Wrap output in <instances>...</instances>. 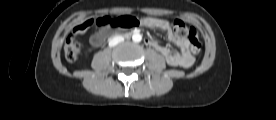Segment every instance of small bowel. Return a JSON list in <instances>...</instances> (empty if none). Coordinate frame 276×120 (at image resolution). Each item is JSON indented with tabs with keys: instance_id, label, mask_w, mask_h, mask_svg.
Segmentation results:
<instances>
[{
	"instance_id": "1",
	"label": "small bowel",
	"mask_w": 276,
	"mask_h": 120,
	"mask_svg": "<svg viewBox=\"0 0 276 120\" xmlns=\"http://www.w3.org/2000/svg\"><path fill=\"white\" fill-rule=\"evenodd\" d=\"M142 24L165 31L168 40L176 44L181 49L180 52H176L167 46L160 45L154 40H146V44L160 52L165 57L169 65L174 67L188 68L193 64L194 57L190 53L189 42L186 39H179L175 37L170 29L169 23L166 20L149 18V21H142ZM90 42L93 46L99 47L103 42V33H94L90 38Z\"/></svg>"
}]
</instances>
